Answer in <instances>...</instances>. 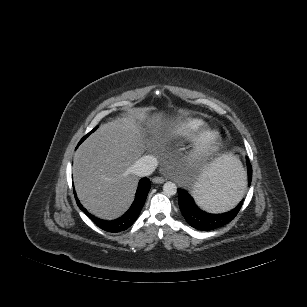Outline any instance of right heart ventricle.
Segmentation results:
<instances>
[{
    "label": "right heart ventricle",
    "instance_id": "obj_1",
    "mask_svg": "<svg viewBox=\"0 0 307 307\" xmlns=\"http://www.w3.org/2000/svg\"><path fill=\"white\" fill-rule=\"evenodd\" d=\"M204 127L203 120L190 118L177 123L172 132L182 136H193L200 133Z\"/></svg>",
    "mask_w": 307,
    "mask_h": 307
}]
</instances>
